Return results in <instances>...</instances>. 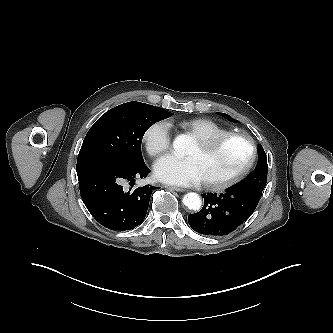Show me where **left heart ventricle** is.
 Returning <instances> with one entry per match:
<instances>
[{"label":"left heart ventricle","instance_id":"obj_1","mask_svg":"<svg viewBox=\"0 0 333 333\" xmlns=\"http://www.w3.org/2000/svg\"><path fill=\"white\" fill-rule=\"evenodd\" d=\"M247 148L239 140H229L211 151H203L197 143L187 152L202 173L203 181H218L239 170L247 159Z\"/></svg>","mask_w":333,"mask_h":333}]
</instances>
